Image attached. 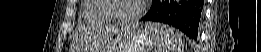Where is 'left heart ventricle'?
Listing matches in <instances>:
<instances>
[{"label":"left heart ventricle","instance_id":"obj_1","mask_svg":"<svg viewBox=\"0 0 261 52\" xmlns=\"http://www.w3.org/2000/svg\"><path fill=\"white\" fill-rule=\"evenodd\" d=\"M140 5V0H118L115 2L113 15L115 17L128 18L138 11Z\"/></svg>","mask_w":261,"mask_h":52}]
</instances>
